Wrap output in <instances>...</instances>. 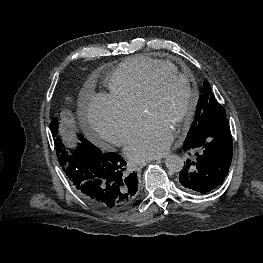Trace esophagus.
I'll list each match as a JSON object with an SVG mask.
<instances>
[{"label": "esophagus", "instance_id": "obj_1", "mask_svg": "<svg viewBox=\"0 0 263 263\" xmlns=\"http://www.w3.org/2000/svg\"><path fill=\"white\" fill-rule=\"evenodd\" d=\"M160 158L156 159V160H159ZM146 164V162H142L140 164L137 165V167L139 168H142L144 165Z\"/></svg>", "mask_w": 263, "mask_h": 263}]
</instances>
